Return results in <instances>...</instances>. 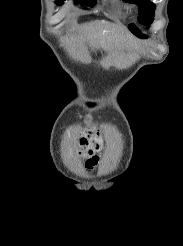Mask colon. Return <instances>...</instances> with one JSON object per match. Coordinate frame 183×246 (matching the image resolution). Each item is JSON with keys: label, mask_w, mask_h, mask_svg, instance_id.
<instances>
[{"label": "colon", "mask_w": 183, "mask_h": 246, "mask_svg": "<svg viewBox=\"0 0 183 246\" xmlns=\"http://www.w3.org/2000/svg\"><path fill=\"white\" fill-rule=\"evenodd\" d=\"M100 132L94 128H88L85 134L80 139L81 154L86 156L90 155L101 147Z\"/></svg>", "instance_id": "colon-1"}]
</instances>
